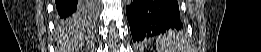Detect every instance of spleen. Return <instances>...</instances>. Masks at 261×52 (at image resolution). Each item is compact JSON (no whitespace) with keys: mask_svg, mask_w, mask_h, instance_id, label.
<instances>
[{"mask_svg":"<svg viewBox=\"0 0 261 52\" xmlns=\"http://www.w3.org/2000/svg\"><path fill=\"white\" fill-rule=\"evenodd\" d=\"M158 52H176L180 48V35L169 34L157 38Z\"/></svg>","mask_w":261,"mask_h":52,"instance_id":"obj_1","label":"spleen"}]
</instances>
